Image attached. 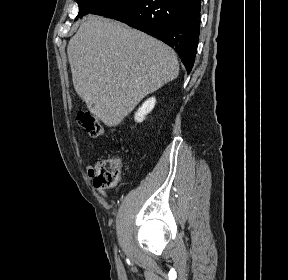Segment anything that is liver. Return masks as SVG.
Returning a JSON list of instances; mask_svg holds the SVG:
<instances>
[{"instance_id": "obj_1", "label": "liver", "mask_w": 288, "mask_h": 280, "mask_svg": "<svg viewBox=\"0 0 288 280\" xmlns=\"http://www.w3.org/2000/svg\"><path fill=\"white\" fill-rule=\"evenodd\" d=\"M75 91L109 127L148 94L178 77L176 53L124 24L89 15L67 47Z\"/></svg>"}]
</instances>
